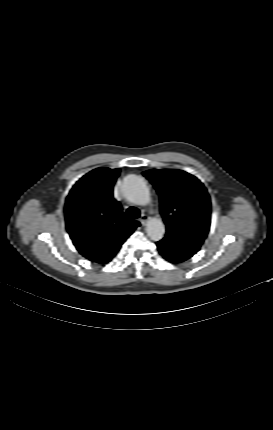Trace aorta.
Instances as JSON below:
<instances>
[{"label": "aorta", "mask_w": 273, "mask_h": 430, "mask_svg": "<svg viewBox=\"0 0 273 430\" xmlns=\"http://www.w3.org/2000/svg\"><path fill=\"white\" fill-rule=\"evenodd\" d=\"M123 192L132 203L146 206L150 203V192L146 182L137 175H128L124 179ZM147 235L153 241H159L164 237L165 226L158 218H151L146 227Z\"/></svg>", "instance_id": "1"}]
</instances>
